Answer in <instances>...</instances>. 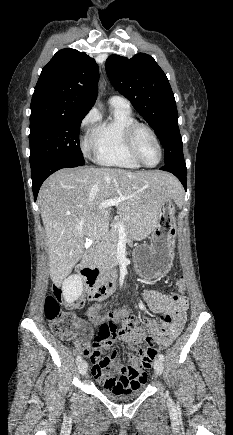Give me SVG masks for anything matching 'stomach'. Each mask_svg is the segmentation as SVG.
Here are the masks:
<instances>
[{"label":"stomach","instance_id":"obj_1","mask_svg":"<svg viewBox=\"0 0 233 435\" xmlns=\"http://www.w3.org/2000/svg\"><path fill=\"white\" fill-rule=\"evenodd\" d=\"M173 199L160 210L156 228L151 232L150 244L140 245L133 252L136 274L146 280L166 275L173 264L177 225Z\"/></svg>","mask_w":233,"mask_h":435}]
</instances>
